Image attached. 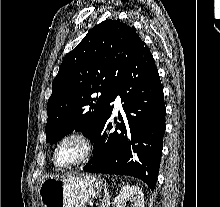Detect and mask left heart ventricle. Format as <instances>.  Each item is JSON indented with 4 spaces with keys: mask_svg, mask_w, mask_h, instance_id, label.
Here are the masks:
<instances>
[{
    "mask_svg": "<svg viewBox=\"0 0 220 207\" xmlns=\"http://www.w3.org/2000/svg\"><path fill=\"white\" fill-rule=\"evenodd\" d=\"M81 153V146L75 141H69L63 144L57 153V162L66 164L74 161Z\"/></svg>",
    "mask_w": 220,
    "mask_h": 207,
    "instance_id": "b2bd125f",
    "label": "left heart ventricle"
}]
</instances>
